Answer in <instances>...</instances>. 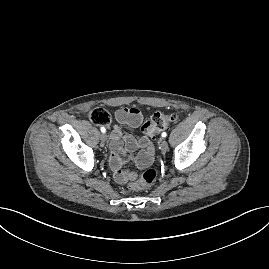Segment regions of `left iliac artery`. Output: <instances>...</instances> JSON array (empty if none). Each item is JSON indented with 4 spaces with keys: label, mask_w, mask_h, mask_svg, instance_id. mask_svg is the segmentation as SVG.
I'll list each match as a JSON object with an SVG mask.
<instances>
[{
    "label": "left iliac artery",
    "mask_w": 269,
    "mask_h": 269,
    "mask_svg": "<svg viewBox=\"0 0 269 269\" xmlns=\"http://www.w3.org/2000/svg\"><path fill=\"white\" fill-rule=\"evenodd\" d=\"M166 136H167V133H166V132H163V133H162V137L165 138Z\"/></svg>",
    "instance_id": "44dca946"
}]
</instances>
